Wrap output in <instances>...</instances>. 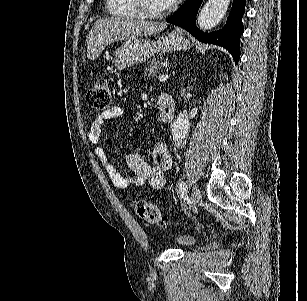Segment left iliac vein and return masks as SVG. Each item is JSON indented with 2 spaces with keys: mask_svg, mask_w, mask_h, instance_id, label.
Listing matches in <instances>:
<instances>
[{
  "mask_svg": "<svg viewBox=\"0 0 307 301\" xmlns=\"http://www.w3.org/2000/svg\"><path fill=\"white\" fill-rule=\"evenodd\" d=\"M201 199V191L199 187L195 186L191 195V207L195 208Z\"/></svg>",
  "mask_w": 307,
  "mask_h": 301,
  "instance_id": "left-iliac-vein-1",
  "label": "left iliac vein"
}]
</instances>
